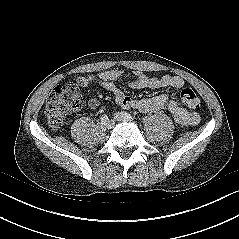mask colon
Returning a JSON list of instances; mask_svg holds the SVG:
<instances>
[{
  "label": "colon",
  "instance_id": "5ec220e1",
  "mask_svg": "<svg viewBox=\"0 0 239 239\" xmlns=\"http://www.w3.org/2000/svg\"><path fill=\"white\" fill-rule=\"evenodd\" d=\"M181 101L190 109H196L200 100L196 92L189 87L183 88L180 93ZM81 100L76 83L69 82L53 89L47 98L44 114L51 130H60L69 116L79 109Z\"/></svg>",
  "mask_w": 239,
  "mask_h": 239
}]
</instances>
